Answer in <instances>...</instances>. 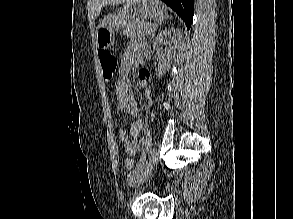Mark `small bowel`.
Here are the masks:
<instances>
[{
  "instance_id": "obj_1",
  "label": "small bowel",
  "mask_w": 293,
  "mask_h": 219,
  "mask_svg": "<svg viewBox=\"0 0 293 219\" xmlns=\"http://www.w3.org/2000/svg\"><path fill=\"white\" fill-rule=\"evenodd\" d=\"M143 44L140 41L132 42L126 52L124 53L119 73L120 78L116 83V96H117V106L116 112H126L129 115L135 116L138 113L137 104L132 96L131 85L128 79V75L132 69L135 61H137L142 53ZM150 78V72L146 69H142L138 73V84L140 86H145ZM143 122L138 119L133 122L130 129V136L125 130L119 132V137L123 142L125 152L128 155H134L139 148V138L142 132Z\"/></svg>"
}]
</instances>
